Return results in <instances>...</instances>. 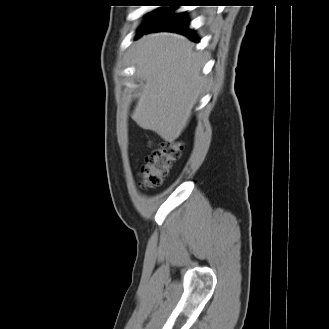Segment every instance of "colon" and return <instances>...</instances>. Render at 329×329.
I'll list each match as a JSON object with an SVG mask.
<instances>
[{"label":"colon","instance_id":"1","mask_svg":"<svg viewBox=\"0 0 329 329\" xmlns=\"http://www.w3.org/2000/svg\"><path fill=\"white\" fill-rule=\"evenodd\" d=\"M184 146L173 140L163 141L159 147L146 157L141 170L140 186L143 188L159 187L168 176L171 167L182 156Z\"/></svg>","mask_w":329,"mask_h":329}]
</instances>
